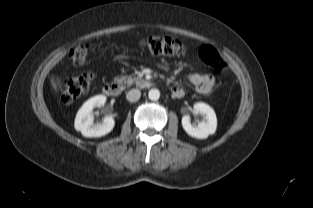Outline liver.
<instances>
[{
  "label": "liver",
  "instance_id": "1",
  "mask_svg": "<svg viewBox=\"0 0 313 208\" xmlns=\"http://www.w3.org/2000/svg\"><path fill=\"white\" fill-rule=\"evenodd\" d=\"M51 82L54 90L57 91V86L60 84V82L59 81L55 82L54 78H52Z\"/></svg>",
  "mask_w": 313,
  "mask_h": 208
}]
</instances>
